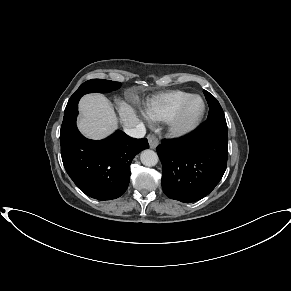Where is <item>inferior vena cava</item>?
Returning a JSON list of instances; mask_svg holds the SVG:
<instances>
[{
  "label": "inferior vena cava",
  "mask_w": 291,
  "mask_h": 291,
  "mask_svg": "<svg viewBox=\"0 0 291 291\" xmlns=\"http://www.w3.org/2000/svg\"><path fill=\"white\" fill-rule=\"evenodd\" d=\"M125 133L133 138H143L145 136V126L143 123H138L133 128H125Z\"/></svg>",
  "instance_id": "602c4592"
}]
</instances>
